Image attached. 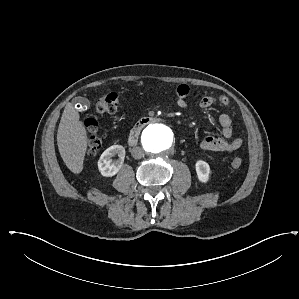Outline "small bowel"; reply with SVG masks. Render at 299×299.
I'll return each instance as SVG.
<instances>
[{"mask_svg": "<svg viewBox=\"0 0 299 299\" xmlns=\"http://www.w3.org/2000/svg\"><path fill=\"white\" fill-rule=\"evenodd\" d=\"M176 94L178 107L181 109H189L191 106L188 99L193 96L191 89L187 85H179L177 87ZM216 102L220 103L224 107L229 104L228 98L224 95H204L199 99L198 105L202 109H207ZM218 121L222 129V137L217 138L208 136L204 138L200 144L201 150L208 153L224 154H230L237 151L242 146V139H232L233 125L231 117L227 113H221L218 117Z\"/></svg>", "mask_w": 299, "mask_h": 299, "instance_id": "c3829d8e", "label": "small bowel"}]
</instances>
